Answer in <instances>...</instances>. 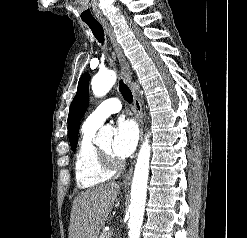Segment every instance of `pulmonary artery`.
<instances>
[{
    "mask_svg": "<svg viewBox=\"0 0 247 238\" xmlns=\"http://www.w3.org/2000/svg\"><path fill=\"white\" fill-rule=\"evenodd\" d=\"M121 108L122 104L118 98L106 99L86 118L83 125L99 128L111 114L119 112Z\"/></svg>",
    "mask_w": 247,
    "mask_h": 238,
    "instance_id": "pulmonary-artery-1",
    "label": "pulmonary artery"
}]
</instances>
